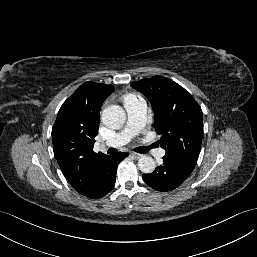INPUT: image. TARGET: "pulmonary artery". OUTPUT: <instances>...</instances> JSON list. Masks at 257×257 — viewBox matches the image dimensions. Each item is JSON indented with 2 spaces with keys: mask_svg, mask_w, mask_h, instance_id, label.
I'll return each instance as SVG.
<instances>
[{
  "mask_svg": "<svg viewBox=\"0 0 257 257\" xmlns=\"http://www.w3.org/2000/svg\"><path fill=\"white\" fill-rule=\"evenodd\" d=\"M127 112V124L123 130L111 139L103 143L106 147H120L127 144L144 126L147 107L143 99L133 98L124 103ZM165 154L163 148L152 151L156 158H162Z\"/></svg>",
  "mask_w": 257,
  "mask_h": 257,
  "instance_id": "pulmonary-artery-1",
  "label": "pulmonary artery"
}]
</instances>
